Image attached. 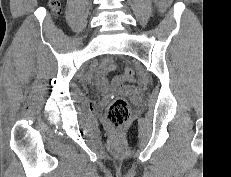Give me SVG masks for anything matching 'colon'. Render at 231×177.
I'll return each instance as SVG.
<instances>
[{"label":"colon","instance_id":"obj_1","mask_svg":"<svg viewBox=\"0 0 231 177\" xmlns=\"http://www.w3.org/2000/svg\"><path fill=\"white\" fill-rule=\"evenodd\" d=\"M167 0H157V3L164 7ZM48 5L54 11H57L60 6V0H48ZM134 77V72L131 68H124L121 78L124 83L131 82ZM131 115V107L129 102L122 97L115 98L107 108L106 119L113 128H120L129 120Z\"/></svg>","mask_w":231,"mask_h":177}]
</instances>
